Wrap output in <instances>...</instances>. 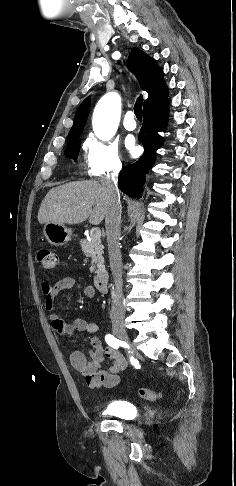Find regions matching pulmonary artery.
I'll return each instance as SVG.
<instances>
[{
  "label": "pulmonary artery",
  "instance_id": "pulmonary-artery-1",
  "mask_svg": "<svg viewBox=\"0 0 236 486\" xmlns=\"http://www.w3.org/2000/svg\"><path fill=\"white\" fill-rule=\"evenodd\" d=\"M123 126L128 131H133V130L136 129L137 124H136V121L134 119L133 111H128L126 113L124 120H123Z\"/></svg>",
  "mask_w": 236,
  "mask_h": 486
}]
</instances>
